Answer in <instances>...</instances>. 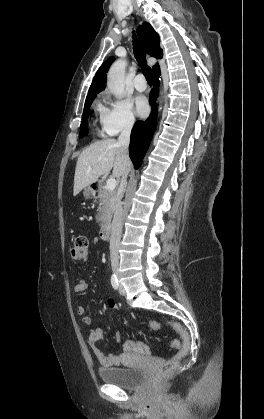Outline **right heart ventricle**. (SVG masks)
Segmentation results:
<instances>
[{
  "mask_svg": "<svg viewBox=\"0 0 264 419\" xmlns=\"http://www.w3.org/2000/svg\"><path fill=\"white\" fill-rule=\"evenodd\" d=\"M96 107H97V109H99V110H101V109H102V105H101L99 102L96 104Z\"/></svg>",
  "mask_w": 264,
  "mask_h": 419,
  "instance_id": "e07e8e85",
  "label": "right heart ventricle"
}]
</instances>
